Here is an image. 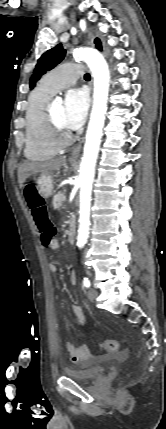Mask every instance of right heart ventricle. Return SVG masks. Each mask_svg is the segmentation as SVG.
Returning a JSON list of instances; mask_svg holds the SVG:
<instances>
[{"label": "right heart ventricle", "instance_id": "obj_1", "mask_svg": "<svg viewBox=\"0 0 166 429\" xmlns=\"http://www.w3.org/2000/svg\"><path fill=\"white\" fill-rule=\"evenodd\" d=\"M52 95L39 86L31 92L28 99L24 153L32 161L47 160L57 151L49 140L45 118L46 106Z\"/></svg>", "mask_w": 166, "mask_h": 429}]
</instances>
